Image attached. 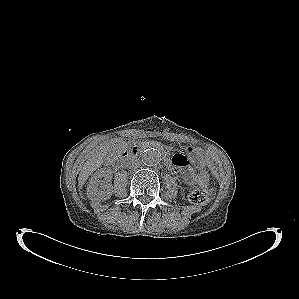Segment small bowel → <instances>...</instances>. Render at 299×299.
Here are the masks:
<instances>
[{"mask_svg": "<svg viewBox=\"0 0 299 299\" xmlns=\"http://www.w3.org/2000/svg\"><path fill=\"white\" fill-rule=\"evenodd\" d=\"M170 166L181 171L185 183L190 185L195 182L194 173L189 167L188 160L182 154H175L170 160Z\"/></svg>", "mask_w": 299, "mask_h": 299, "instance_id": "c3829d8e", "label": "small bowel"}]
</instances>
